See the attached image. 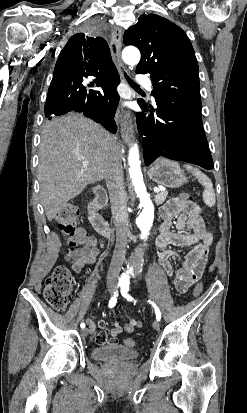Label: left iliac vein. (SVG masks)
<instances>
[{
  "mask_svg": "<svg viewBox=\"0 0 247 413\" xmlns=\"http://www.w3.org/2000/svg\"><path fill=\"white\" fill-rule=\"evenodd\" d=\"M152 326L155 330H159L160 329V322L158 320H155L153 322Z\"/></svg>",
  "mask_w": 247,
  "mask_h": 413,
  "instance_id": "obj_1",
  "label": "left iliac vein"
}]
</instances>
